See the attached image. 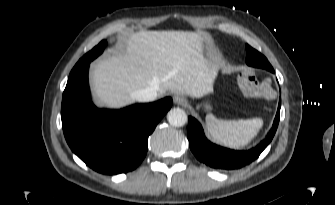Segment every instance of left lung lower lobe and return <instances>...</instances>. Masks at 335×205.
I'll use <instances>...</instances> for the list:
<instances>
[{"label": "left lung lower lobe", "instance_id": "0a47b994", "mask_svg": "<svg viewBox=\"0 0 335 205\" xmlns=\"http://www.w3.org/2000/svg\"><path fill=\"white\" fill-rule=\"evenodd\" d=\"M271 72H274V70ZM280 107L281 99L279 100L273 126L266 139L248 151H235L211 143L206 139L200 123L195 118L189 117L187 134L190 149L200 162L211 168L225 170L241 168L257 159L271 142L278 127Z\"/></svg>", "mask_w": 335, "mask_h": 205}]
</instances>
